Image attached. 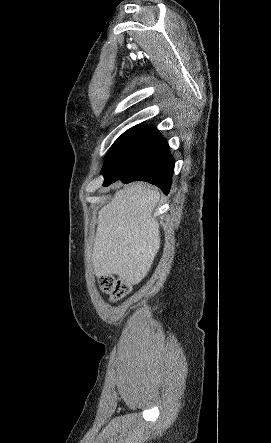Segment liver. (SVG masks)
Masks as SVG:
<instances>
[{
    "label": "liver",
    "instance_id": "1",
    "mask_svg": "<svg viewBox=\"0 0 271 443\" xmlns=\"http://www.w3.org/2000/svg\"><path fill=\"white\" fill-rule=\"evenodd\" d=\"M159 190L133 182L117 190L98 212L92 263L95 275H119L136 285L147 275L160 247L159 223L152 216Z\"/></svg>",
    "mask_w": 271,
    "mask_h": 443
}]
</instances>
